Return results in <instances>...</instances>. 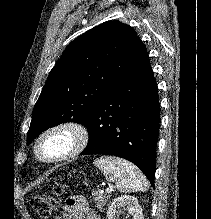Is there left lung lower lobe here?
I'll use <instances>...</instances> for the list:
<instances>
[{"label": "left lung lower lobe", "instance_id": "left-lung-lower-lobe-1", "mask_svg": "<svg viewBox=\"0 0 211 219\" xmlns=\"http://www.w3.org/2000/svg\"><path fill=\"white\" fill-rule=\"evenodd\" d=\"M158 88L146 48L93 109L81 155H113L137 165L154 187L159 134Z\"/></svg>", "mask_w": 211, "mask_h": 219}]
</instances>
